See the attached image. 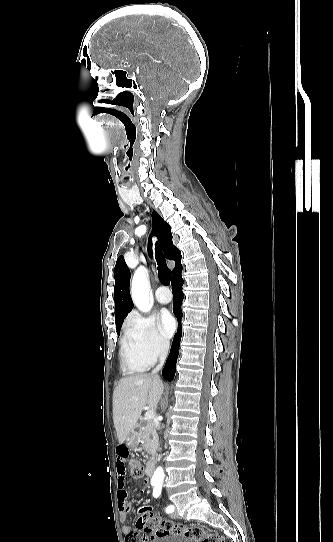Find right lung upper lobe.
Returning <instances> with one entry per match:
<instances>
[{"instance_id":"obj_1","label":"right lung upper lobe","mask_w":333,"mask_h":542,"mask_svg":"<svg viewBox=\"0 0 333 542\" xmlns=\"http://www.w3.org/2000/svg\"><path fill=\"white\" fill-rule=\"evenodd\" d=\"M153 229L157 235L161 247L167 259L175 260L180 251L172 243L171 228L163 218L156 212H152ZM151 254V248H149ZM115 322L116 328L122 326L123 320L133 308V302L129 292L130 271L124 261L123 256L117 259L115 269Z\"/></svg>"}]
</instances>
